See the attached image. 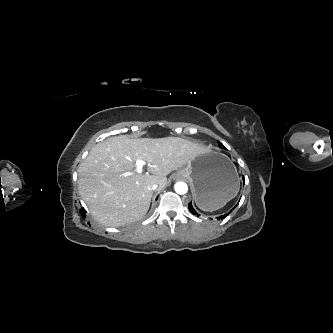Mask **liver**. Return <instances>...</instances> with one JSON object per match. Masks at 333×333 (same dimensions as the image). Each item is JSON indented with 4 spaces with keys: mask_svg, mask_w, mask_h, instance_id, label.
Instances as JSON below:
<instances>
[{
    "mask_svg": "<svg viewBox=\"0 0 333 333\" xmlns=\"http://www.w3.org/2000/svg\"><path fill=\"white\" fill-rule=\"evenodd\" d=\"M207 148L179 137L139 138L115 136L96 144L78 166L79 193L91 215L104 226L119 227L140 220L147 213L153 183L162 190L166 176L185 166ZM148 172H135L136 160Z\"/></svg>",
    "mask_w": 333,
    "mask_h": 333,
    "instance_id": "6515ba94",
    "label": "liver"
}]
</instances>
